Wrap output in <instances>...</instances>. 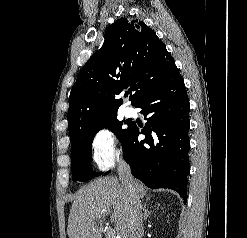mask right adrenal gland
<instances>
[{
  "label": "right adrenal gland",
  "instance_id": "2a0ac1e0",
  "mask_svg": "<svg viewBox=\"0 0 247 238\" xmlns=\"http://www.w3.org/2000/svg\"><path fill=\"white\" fill-rule=\"evenodd\" d=\"M143 212H144V219L147 220V218L151 214V211H148V209L146 208V204L143 207Z\"/></svg>",
  "mask_w": 247,
  "mask_h": 238
}]
</instances>
